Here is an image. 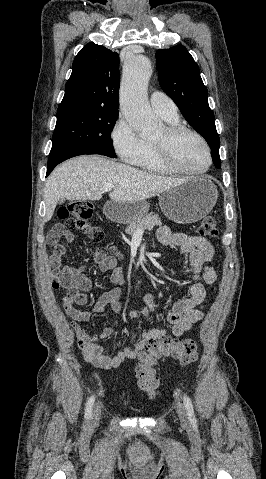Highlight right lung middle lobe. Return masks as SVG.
I'll return each instance as SVG.
<instances>
[{
    "label": "right lung middle lobe",
    "mask_w": 266,
    "mask_h": 479,
    "mask_svg": "<svg viewBox=\"0 0 266 479\" xmlns=\"http://www.w3.org/2000/svg\"><path fill=\"white\" fill-rule=\"evenodd\" d=\"M118 112H67L57 114L52 149L115 158L111 131Z\"/></svg>",
    "instance_id": "right-lung-middle-lobe-1"
}]
</instances>
